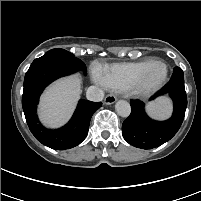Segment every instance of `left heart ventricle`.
<instances>
[{"label":"left heart ventricle","instance_id":"1","mask_svg":"<svg viewBox=\"0 0 201 201\" xmlns=\"http://www.w3.org/2000/svg\"><path fill=\"white\" fill-rule=\"evenodd\" d=\"M163 67L162 66H156L153 68L149 75V82L155 83L157 82L163 75Z\"/></svg>","mask_w":201,"mask_h":201}]
</instances>
